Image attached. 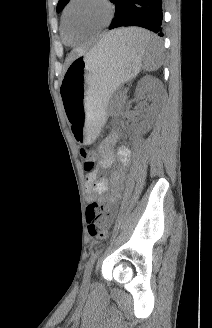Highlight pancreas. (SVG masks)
Listing matches in <instances>:
<instances>
[{
  "instance_id": "pancreas-1",
  "label": "pancreas",
  "mask_w": 212,
  "mask_h": 328,
  "mask_svg": "<svg viewBox=\"0 0 212 328\" xmlns=\"http://www.w3.org/2000/svg\"><path fill=\"white\" fill-rule=\"evenodd\" d=\"M125 101V97L124 95L121 93L118 97H116L113 101H112V106L115 108H119L123 105Z\"/></svg>"
}]
</instances>
